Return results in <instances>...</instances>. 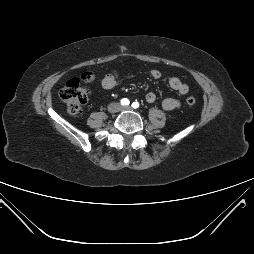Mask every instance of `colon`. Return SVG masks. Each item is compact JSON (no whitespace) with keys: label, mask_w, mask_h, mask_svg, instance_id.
Instances as JSON below:
<instances>
[{"label":"colon","mask_w":254,"mask_h":254,"mask_svg":"<svg viewBox=\"0 0 254 254\" xmlns=\"http://www.w3.org/2000/svg\"><path fill=\"white\" fill-rule=\"evenodd\" d=\"M95 80V75L91 72H85L80 78H72L66 82L60 91V98L66 103L67 111L72 116L79 115L88 101V90L83 83H90ZM188 105H194L196 99L193 96L186 98Z\"/></svg>","instance_id":"colon-1"}]
</instances>
